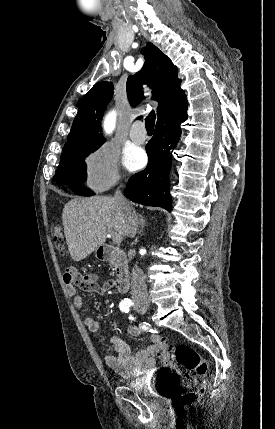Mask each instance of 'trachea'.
Segmentation results:
<instances>
[{
  "label": "trachea",
  "mask_w": 275,
  "mask_h": 429,
  "mask_svg": "<svg viewBox=\"0 0 275 429\" xmlns=\"http://www.w3.org/2000/svg\"><path fill=\"white\" fill-rule=\"evenodd\" d=\"M155 112L152 111L145 119V127L147 132H153L154 130V125H155Z\"/></svg>",
  "instance_id": "obj_1"
}]
</instances>
